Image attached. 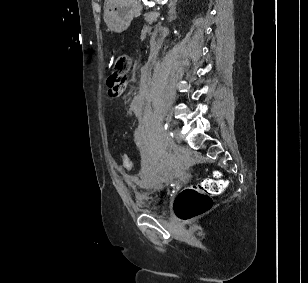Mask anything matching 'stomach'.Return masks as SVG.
Segmentation results:
<instances>
[{
  "mask_svg": "<svg viewBox=\"0 0 308 283\" xmlns=\"http://www.w3.org/2000/svg\"><path fill=\"white\" fill-rule=\"evenodd\" d=\"M142 9L140 0H115L106 7L104 21L110 31L121 33L129 27L134 17L140 15Z\"/></svg>",
  "mask_w": 308,
  "mask_h": 283,
  "instance_id": "0dacf381",
  "label": "stomach"
}]
</instances>
